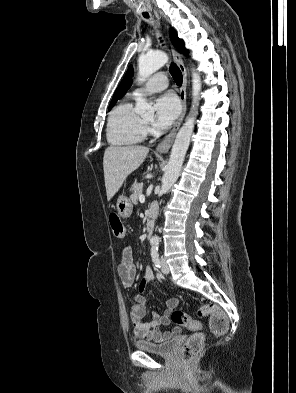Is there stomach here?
I'll return each instance as SVG.
<instances>
[{"mask_svg": "<svg viewBox=\"0 0 296 393\" xmlns=\"http://www.w3.org/2000/svg\"><path fill=\"white\" fill-rule=\"evenodd\" d=\"M116 207L120 217L128 218L131 216L133 211V205L127 196L123 194L120 195L117 199Z\"/></svg>", "mask_w": 296, "mask_h": 393, "instance_id": "obj_1", "label": "stomach"}]
</instances>
